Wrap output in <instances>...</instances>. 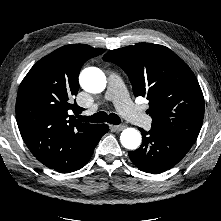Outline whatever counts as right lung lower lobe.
<instances>
[{
    "mask_svg": "<svg viewBox=\"0 0 221 221\" xmlns=\"http://www.w3.org/2000/svg\"><path fill=\"white\" fill-rule=\"evenodd\" d=\"M108 130L109 128L107 125L101 124L100 128L98 129V134L96 138L90 144H88L87 146L83 148L82 153L80 154V158H78L72 164H68L65 167H62V169H57L56 171L62 172V173H69V172L79 170L80 168L85 166L87 162L89 161V159L91 158L94 152V148L98 144L99 140L105 133L108 132Z\"/></svg>",
    "mask_w": 221,
    "mask_h": 221,
    "instance_id": "98d812e1",
    "label": "right lung lower lobe"
}]
</instances>
